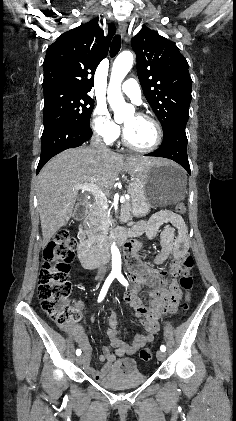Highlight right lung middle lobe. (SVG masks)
Here are the masks:
<instances>
[{
    "instance_id": "dd1d6c3e",
    "label": "right lung middle lobe",
    "mask_w": 236,
    "mask_h": 421,
    "mask_svg": "<svg viewBox=\"0 0 236 421\" xmlns=\"http://www.w3.org/2000/svg\"><path fill=\"white\" fill-rule=\"evenodd\" d=\"M94 100L83 92L44 89V130L56 124H67L91 132L89 121Z\"/></svg>"
}]
</instances>
